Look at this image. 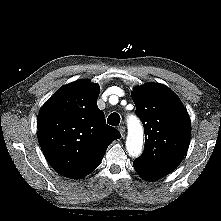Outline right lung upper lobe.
<instances>
[{
  "instance_id": "cb5924a9",
  "label": "right lung upper lobe",
  "mask_w": 221,
  "mask_h": 221,
  "mask_svg": "<svg viewBox=\"0 0 221 221\" xmlns=\"http://www.w3.org/2000/svg\"><path fill=\"white\" fill-rule=\"evenodd\" d=\"M99 86L79 80L61 87L40 109L38 140L49 164L79 179L95 170L109 144L121 137L97 106Z\"/></svg>"
}]
</instances>
